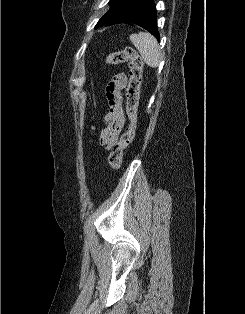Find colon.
<instances>
[{
    "label": "colon",
    "instance_id": "1",
    "mask_svg": "<svg viewBox=\"0 0 245 314\" xmlns=\"http://www.w3.org/2000/svg\"><path fill=\"white\" fill-rule=\"evenodd\" d=\"M125 62L129 64V84L127 87V114L129 126L109 154L108 162L112 170L120 168L123 152L132 143L135 137L144 63L138 52L132 47L113 52L109 54L105 60L106 65H117Z\"/></svg>",
    "mask_w": 245,
    "mask_h": 314
}]
</instances>
